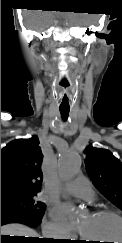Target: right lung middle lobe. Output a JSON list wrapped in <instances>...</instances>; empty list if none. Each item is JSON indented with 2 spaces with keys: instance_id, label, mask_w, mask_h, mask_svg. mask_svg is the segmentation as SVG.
Instances as JSON below:
<instances>
[{
  "instance_id": "dd1d6c3e",
  "label": "right lung middle lobe",
  "mask_w": 122,
  "mask_h": 243,
  "mask_svg": "<svg viewBox=\"0 0 122 243\" xmlns=\"http://www.w3.org/2000/svg\"><path fill=\"white\" fill-rule=\"evenodd\" d=\"M36 195H16L1 197V208L14 209L30 213L42 219L45 204L35 200Z\"/></svg>"
}]
</instances>
